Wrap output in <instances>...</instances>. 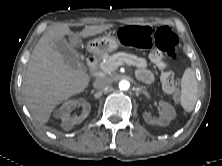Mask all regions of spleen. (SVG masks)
I'll list each match as a JSON object with an SVG mask.
<instances>
[{
    "mask_svg": "<svg viewBox=\"0 0 222 166\" xmlns=\"http://www.w3.org/2000/svg\"><path fill=\"white\" fill-rule=\"evenodd\" d=\"M198 95L197 80L195 72L187 68L181 80V98L180 103L183 109L191 112L196 104Z\"/></svg>",
    "mask_w": 222,
    "mask_h": 166,
    "instance_id": "1",
    "label": "spleen"
}]
</instances>
